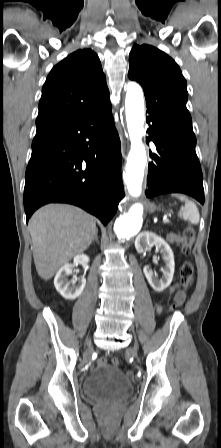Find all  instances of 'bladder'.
<instances>
[{
	"mask_svg": "<svg viewBox=\"0 0 221 448\" xmlns=\"http://www.w3.org/2000/svg\"><path fill=\"white\" fill-rule=\"evenodd\" d=\"M132 382L118 367L99 366L83 381L84 394L94 400L122 401L132 394Z\"/></svg>",
	"mask_w": 221,
	"mask_h": 448,
	"instance_id": "1",
	"label": "bladder"
}]
</instances>
